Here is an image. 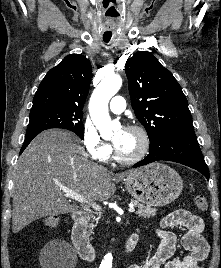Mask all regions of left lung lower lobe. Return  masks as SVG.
I'll list each match as a JSON object with an SVG mask.
<instances>
[{
  "instance_id": "obj_1",
  "label": "left lung lower lobe",
  "mask_w": 221,
  "mask_h": 268,
  "mask_svg": "<svg viewBox=\"0 0 221 268\" xmlns=\"http://www.w3.org/2000/svg\"><path fill=\"white\" fill-rule=\"evenodd\" d=\"M158 160L184 164L198 170L209 180V170L194 131L173 133L150 146L149 155L133 167L136 168Z\"/></svg>"
}]
</instances>
